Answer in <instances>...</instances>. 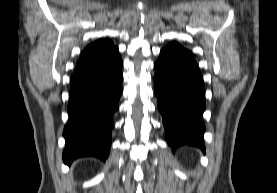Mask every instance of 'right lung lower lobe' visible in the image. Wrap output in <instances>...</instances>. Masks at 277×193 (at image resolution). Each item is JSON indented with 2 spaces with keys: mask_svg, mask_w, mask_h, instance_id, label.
Returning <instances> with one entry per match:
<instances>
[{
  "mask_svg": "<svg viewBox=\"0 0 277 193\" xmlns=\"http://www.w3.org/2000/svg\"><path fill=\"white\" fill-rule=\"evenodd\" d=\"M122 61L116 47L94 62L77 65L70 79L63 161L84 156L106 160L111 146L113 114L122 93Z\"/></svg>",
  "mask_w": 277,
  "mask_h": 193,
  "instance_id": "98d812e1",
  "label": "right lung lower lobe"
}]
</instances>
